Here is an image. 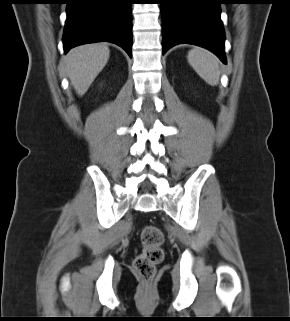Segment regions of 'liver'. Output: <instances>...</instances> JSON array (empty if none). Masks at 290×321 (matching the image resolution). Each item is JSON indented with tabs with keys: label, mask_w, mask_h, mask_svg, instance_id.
Segmentation results:
<instances>
[{
	"label": "liver",
	"mask_w": 290,
	"mask_h": 321,
	"mask_svg": "<svg viewBox=\"0 0 290 321\" xmlns=\"http://www.w3.org/2000/svg\"><path fill=\"white\" fill-rule=\"evenodd\" d=\"M110 50L105 43L75 47L64 57L63 67L72 86L83 96L109 60Z\"/></svg>",
	"instance_id": "liver-1"
}]
</instances>
